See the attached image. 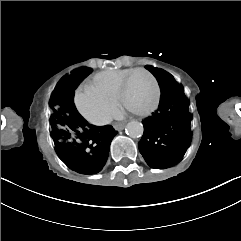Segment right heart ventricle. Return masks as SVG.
<instances>
[{"label":"right heart ventricle","mask_w":241,"mask_h":241,"mask_svg":"<svg viewBox=\"0 0 241 241\" xmlns=\"http://www.w3.org/2000/svg\"><path fill=\"white\" fill-rule=\"evenodd\" d=\"M133 70L135 69L103 70L87 78L81 86L87 84L98 86L103 93L111 96V99H109L110 101L117 102L119 101L117 97V85L125 74Z\"/></svg>","instance_id":"obj_1"}]
</instances>
